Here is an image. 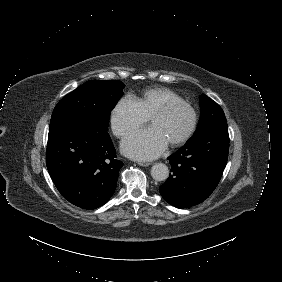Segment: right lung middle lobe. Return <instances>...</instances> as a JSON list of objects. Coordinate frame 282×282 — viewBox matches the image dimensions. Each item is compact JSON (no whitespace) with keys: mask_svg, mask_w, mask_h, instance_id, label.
Wrapping results in <instances>:
<instances>
[{"mask_svg":"<svg viewBox=\"0 0 282 282\" xmlns=\"http://www.w3.org/2000/svg\"><path fill=\"white\" fill-rule=\"evenodd\" d=\"M119 80H90L66 95L55 107L49 129L79 119L108 130L110 112L123 95Z\"/></svg>","mask_w":282,"mask_h":282,"instance_id":"dd1d6c3e","label":"right lung middle lobe"}]
</instances>
